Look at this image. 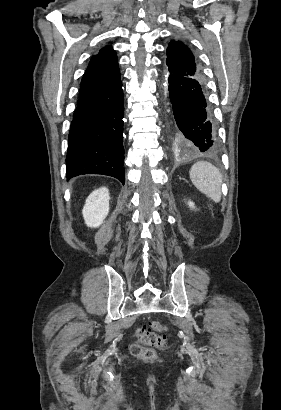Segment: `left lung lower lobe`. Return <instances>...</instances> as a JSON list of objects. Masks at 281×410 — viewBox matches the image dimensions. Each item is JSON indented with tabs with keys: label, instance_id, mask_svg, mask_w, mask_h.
Listing matches in <instances>:
<instances>
[{
	"label": "left lung lower lobe",
	"instance_id": "0a47b994",
	"mask_svg": "<svg viewBox=\"0 0 281 410\" xmlns=\"http://www.w3.org/2000/svg\"><path fill=\"white\" fill-rule=\"evenodd\" d=\"M173 110L176 137L184 147L214 152L218 149L216 127L199 78L165 73Z\"/></svg>",
	"mask_w": 281,
	"mask_h": 410
}]
</instances>
